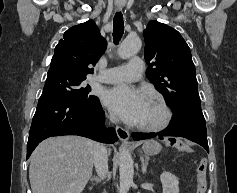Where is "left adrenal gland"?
Wrapping results in <instances>:
<instances>
[{
  "label": "left adrenal gland",
  "mask_w": 237,
  "mask_h": 193,
  "mask_svg": "<svg viewBox=\"0 0 237 193\" xmlns=\"http://www.w3.org/2000/svg\"><path fill=\"white\" fill-rule=\"evenodd\" d=\"M141 162H142V173L145 174L147 172V167H148V159L145 157H141Z\"/></svg>",
  "instance_id": "a2214340"
}]
</instances>
